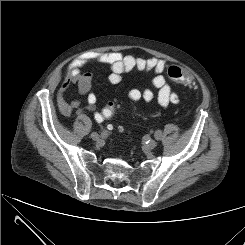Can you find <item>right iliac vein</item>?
<instances>
[{
  "mask_svg": "<svg viewBox=\"0 0 245 245\" xmlns=\"http://www.w3.org/2000/svg\"><path fill=\"white\" fill-rule=\"evenodd\" d=\"M91 138L93 139V140H98L99 139V135L97 134V133H95V132H93L92 134H91Z\"/></svg>",
  "mask_w": 245,
  "mask_h": 245,
  "instance_id": "1",
  "label": "right iliac vein"
}]
</instances>
